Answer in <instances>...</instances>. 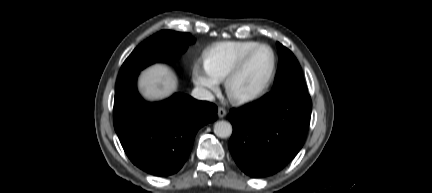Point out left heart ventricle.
<instances>
[{"label": "left heart ventricle", "mask_w": 432, "mask_h": 193, "mask_svg": "<svg viewBox=\"0 0 432 193\" xmlns=\"http://www.w3.org/2000/svg\"><path fill=\"white\" fill-rule=\"evenodd\" d=\"M272 53L267 48L259 49L249 59L242 71L232 82V89L238 95L258 91L266 82L272 68Z\"/></svg>", "instance_id": "1"}]
</instances>
